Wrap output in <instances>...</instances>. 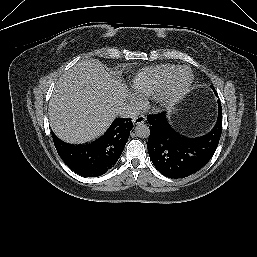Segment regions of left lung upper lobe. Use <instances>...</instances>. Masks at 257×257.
<instances>
[{
	"label": "left lung upper lobe",
	"instance_id": "left-lung-upper-lobe-1",
	"mask_svg": "<svg viewBox=\"0 0 257 257\" xmlns=\"http://www.w3.org/2000/svg\"><path fill=\"white\" fill-rule=\"evenodd\" d=\"M213 90H214L215 95H216V96H218V95H217V92L215 91V89H214V88H213Z\"/></svg>",
	"mask_w": 257,
	"mask_h": 257
}]
</instances>
